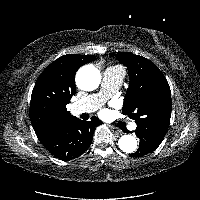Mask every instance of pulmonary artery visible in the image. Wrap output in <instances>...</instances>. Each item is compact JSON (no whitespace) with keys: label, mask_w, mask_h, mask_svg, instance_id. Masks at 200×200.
Returning <instances> with one entry per match:
<instances>
[{"label":"pulmonary artery","mask_w":200,"mask_h":200,"mask_svg":"<svg viewBox=\"0 0 200 200\" xmlns=\"http://www.w3.org/2000/svg\"><path fill=\"white\" fill-rule=\"evenodd\" d=\"M124 70L119 68H107L103 72L101 89L98 93L89 95L73 104L75 114L91 113L99 109L104 102L115 94L122 85ZM130 128L134 130L136 124L132 123Z\"/></svg>","instance_id":"pulmonary-artery-1"}]
</instances>
